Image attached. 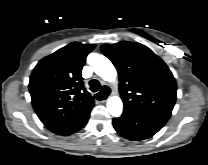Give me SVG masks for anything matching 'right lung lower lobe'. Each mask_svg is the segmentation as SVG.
Wrapping results in <instances>:
<instances>
[{
    "label": "right lung lower lobe",
    "instance_id": "98d812e1",
    "mask_svg": "<svg viewBox=\"0 0 208 165\" xmlns=\"http://www.w3.org/2000/svg\"><path fill=\"white\" fill-rule=\"evenodd\" d=\"M88 119H89V118H88ZM88 119H87V121H88ZM87 121L85 122V124L83 125V127L86 125ZM83 127H82V128H83ZM82 128H81V129H82Z\"/></svg>",
    "mask_w": 208,
    "mask_h": 165
}]
</instances>
